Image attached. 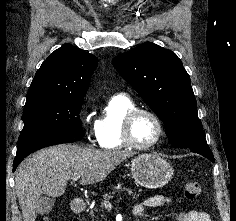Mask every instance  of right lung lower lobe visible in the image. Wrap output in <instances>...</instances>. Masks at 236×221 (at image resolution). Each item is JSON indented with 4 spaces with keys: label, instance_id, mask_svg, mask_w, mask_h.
Segmentation results:
<instances>
[{
    "label": "right lung lower lobe",
    "instance_id": "98d812e1",
    "mask_svg": "<svg viewBox=\"0 0 236 221\" xmlns=\"http://www.w3.org/2000/svg\"><path fill=\"white\" fill-rule=\"evenodd\" d=\"M76 139L74 137L68 136H42L35 137L23 142L18 143L16 157L14 159L13 171L16 170L18 164L29 154L34 151H37L41 148L62 144V143H70L75 142Z\"/></svg>",
    "mask_w": 236,
    "mask_h": 221
}]
</instances>
